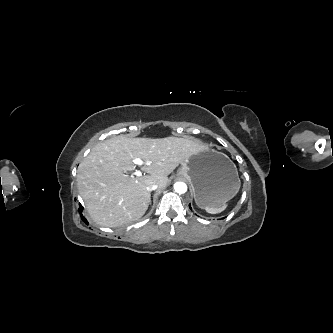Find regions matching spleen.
Segmentation results:
<instances>
[{"label": "spleen", "mask_w": 333, "mask_h": 333, "mask_svg": "<svg viewBox=\"0 0 333 333\" xmlns=\"http://www.w3.org/2000/svg\"><path fill=\"white\" fill-rule=\"evenodd\" d=\"M239 188H240V180H239L237 191H239ZM226 207H227V205H223L222 207H218V208L206 207L205 210L210 214H216V213H220V212L224 211L226 209Z\"/></svg>", "instance_id": "1"}]
</instances>
